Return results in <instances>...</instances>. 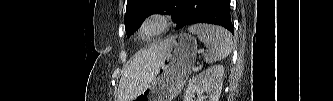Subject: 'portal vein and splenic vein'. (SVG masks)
I'll list each match as a JSON object with an SVG mask.
<instances>
[{
  "label": "portal vein and splenic vein",
  "mask_w": 333,
  "mask_h": 101,
  "mask_svg": "<svg viewBox=\"0 0 333 101\" xmlns=\"http://www.w3.org/2000/svg\"><path fill=\"white\" fill-rule=\"evenodd\" d=\"M201 53H204V51H201ZM197 70H198V68L193 67V71H197Z\"/></svg>",
  "instance_id": "obj_1"
}]
</instances>
